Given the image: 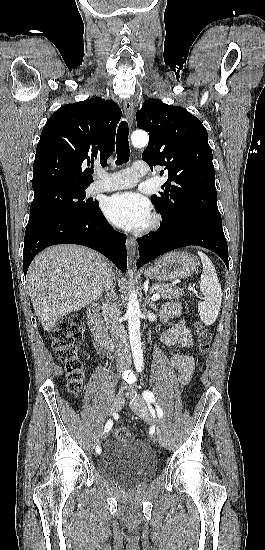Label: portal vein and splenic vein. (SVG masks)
<instances>
[{"label": "portal vein and splenic vein", "instance_id": "18ae733b", "mask_svg": "<svg viewBox=\"0 0 265 550\" xmlns=\"http://www.w3.org/2000/svg\"><path fill=\"white\" fill-rule=\"evenodd\" d=\"M160 297H161V295L159 293H155V294H153L151 299H152V301H156V300L160 299Z\"/></svg>", "mask_w": 265, "mask_h": 550}]
</instances>
